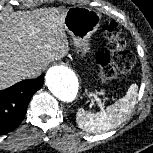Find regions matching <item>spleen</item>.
<instances>
[{"label":"spleen","instance_id":"spleen-1","mask_svg":"<svg viewBox=\"0 0 153 153\" xmlns=\"http://www.w3.org/2000/svg\"><path fill=\"white\" fill-rule=\"evenodd\" d=\"M137 90L138 85L132 84L126 95L97 114L86 113L82 108L78 109L76 122L79 128L89 133H102L120 125L134 107Z\"/></svg>","mask_w":153,"mask_h":153}]
</instances>
